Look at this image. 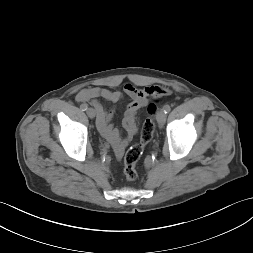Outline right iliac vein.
I'll use <instances>...</instances> for the list:
<instances>
[{"mask_svg":"<svg viewBox=\"0 0 253 253\" xmlns=\"http://www.w3.org/2000/svg\"><path fill=\"white\" fill-rule=\"evenodd\" d=\"M86 113L91 119H93L96 115V112L93 108H88Z\"/></svg>","mask_w":253,"mask_h":253,"instance_id":"obj_1","label":"right iliac vein"}]
</instances>
